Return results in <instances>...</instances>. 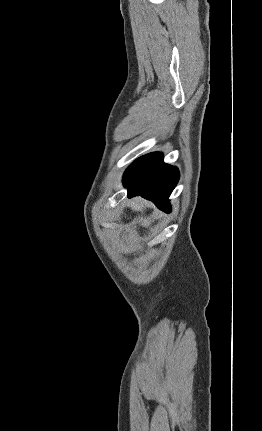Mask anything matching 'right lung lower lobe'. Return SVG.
<instances>
[{
  "label": "right lung lower lobe",
  "mask_w": 262,
  "mask_h": 431,
  "mask_svg": "<svg viewBox=\"0 0 262 431\" xmlns=\"http://www.w3.org/2000/svg\"><path fill=\"white\" fill-rule=\"evenodd\" d=\"M179 179L176 167L163 162L159 152L142 156L126 170L123 182L128 189V197L141 196L151 200L165 212L170 211L168 197Z\"/></svg>",
  "instance_id": "1"
}]
</instances>
